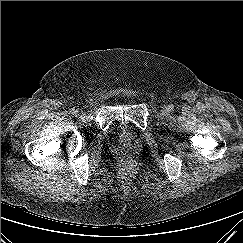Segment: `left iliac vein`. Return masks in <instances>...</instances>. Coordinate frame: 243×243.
Wrapping results in <instances>:
<instances>
[{"label": "left iliac vein", "mask_w": 243, "mask_h": 243, "mask_svg": "<svg viewBox=\"0 0 243 243\" xmlns=\"http://www.w3.org/2000/svg\"><path fill=\"white\" fill-rule=\"evenodd\" d=\"M162 113L164 114V115H168L169 114V112H170V110H169V108L166 106V105H164L163 107H162Z\"/></svg>", "instance_id": "obj_1"}]
</instances>
